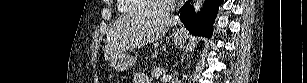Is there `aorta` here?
<instances>
[{
  "label": "aorta",
  "mask_w": 307,
  "mask_h": 83,
  "mask_svg": "<svg viewBox=\"0 0 307 83\" xmlns=\"http://www.w3.org/2000/svg\"><path fill=\"white\" fill-rule=\"evenodd\" d=\"M203 0H194L193 1V7L196 14L199 13L201 6H202Z\"/></svg>",
  "instance_id": "762f6f07"
}]
</instances>
